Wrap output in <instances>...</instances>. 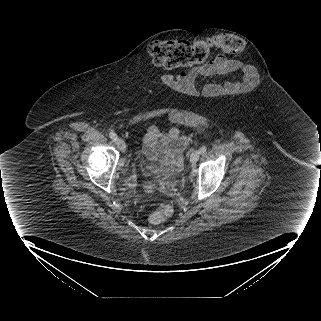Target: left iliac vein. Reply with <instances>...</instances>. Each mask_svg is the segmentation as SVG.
<instances>
[{
  "mask_svg": "<svg viewBox=\"0 0 321 321\" xmlns=\"http://www.w3.org/2000/svg\"><path fill=\"white\" fill-rule=\"evenodd\" d=\"M199 156H200V151L198 150L193 151L190 156V162L192 164H196V162L199 160Z\"/></svg>",
  "mask_w": 321,
  "mask_h": 321,
  "instance_id": "1",
  "label": "left iliac vein"
}]
</instances>
